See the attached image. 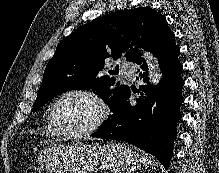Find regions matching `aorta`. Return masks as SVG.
Segmentation results:
<instances>
[{
  "label": "aorta",
  "mask_w": 219,
  "mask_h": 173,
  "mask_svg": "<svg viewBox=\"0 0 219 173\" xmlns=\"http://www.w3.org/2000/svg\"><path fill=\"white\" fill-rule=\"evenodd\" d=\"M143 56L147 60L149 68L151 69L150 82L152 84L156 85V84H158V82L161 78V73H160V69H159L157 60L149 52H144Z\"/></svg>",
  "instance_id": "1"
}]
</instances>
